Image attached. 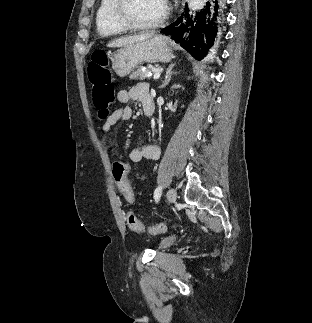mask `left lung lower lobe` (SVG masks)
<instances>
[{
  "label": "left lung lower lobe",
  "instance_id": "0a47b994",
  "mask_svg": "<svg viewBox=\"0 0 312 323\" xmlns=\"http://www.w3.org/2000/svg\"><path fill=\"white\" fill-rule=\"evenodd\" d=\"M224 3L222 0H210L195 17L188 10L161 32L170 35L177 43L200 60L209 51L216 49L222 40L224 24Z\"/></svg>",
  "mask_w": 312,
  "mask_h": 323
}]
</instances>
